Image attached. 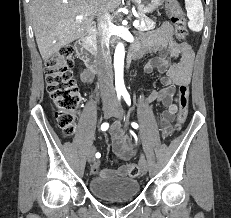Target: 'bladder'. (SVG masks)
<instances>
[{
	"instance_id": "31cf9c89",
	"label": "bladder",
	"mask_w": 231,
	"mask_h": 218,
	"mask_svg": "<svg viewBox=\"0 0 231 218\" xmlns=\"http://www.w3.org/2000/svg\"><path fill=\"white\" fill-rule=\"evenodd\" d=\"M90 191L105 201H127L139 191V182L127 176H96L90 180Z\"/></svg>"
}]
</instances>
